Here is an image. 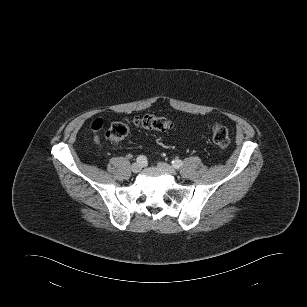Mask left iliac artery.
Listing matches in <instances>:
<instances>
[{
  "instance_id": "obj_1",
  "label": "left iliac artery",
  "mask_w": 307,
  "mask_h": 307,
  "mask_svg": "<svg viewBox=\"0 0 307 307\" xmlns=\"http://www.w3.org/2000/svg\"><path fill=\"white\" fill-rule=\"evenodd\" d=\"M172 165L173 167H175L176 169L180 168L183 165V162L179 159L173 160L172 161Z\"/></svg>"
}]
</instances>
